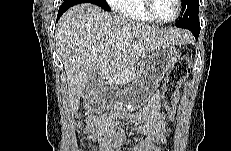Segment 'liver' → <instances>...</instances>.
I'll use <instances>...</instances> for the list:
<instances>
[{
  "mask_svg": "<svg viewBox=\"0 0 231 151\" xmlns=\"http://www.w3.org/2000/svg\"><path fill=\"white\" fill-rule=\"evenodd\" d=\"M190 39L187 31L150 27L90 3L72 6L58 21L55 34L67 74L71 111L78 110L83 89L95 71L100 80H115L155 48Z\"/></svg>",
  "mask_w": 231,
  "mask_h": 151,
  "instance_id": "1",
  "label": "liver"
}]
</instances>
